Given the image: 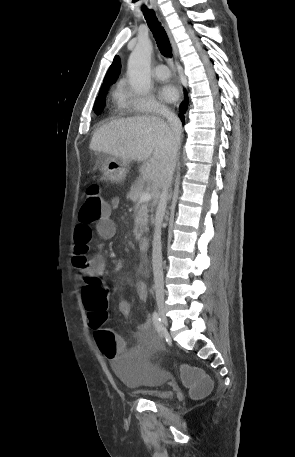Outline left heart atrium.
<instances>
[{
  "label": "left heart atrium",
  "instance_id": "left-heart-atrium-1",
  "mask_svg": "<svg viewBox=\"0 0 295 457\" xmlns=\"http://www.w3.org/2000/svg\"><path fill=\"white\" fill-rule=\"evenodd\" d=\"M160 96L164 101L173 102L177 99L178 93L174 86L167 84L161 88Z\"/></svg>",
  "mask_w": 295,
  "mask_h": 457
}]
</instances>
